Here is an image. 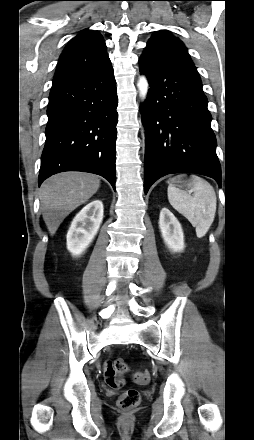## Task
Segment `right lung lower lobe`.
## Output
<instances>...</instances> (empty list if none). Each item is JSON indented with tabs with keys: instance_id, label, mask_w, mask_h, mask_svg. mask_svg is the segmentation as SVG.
I'll list each match as a JSON object with an SVG mask.
<instances>
[{
	"instance_id": "obj_1",
	"label": "right lung lower lobe",
	"mask_w": 254,
	"mask_h": 440,
	"mask_svg": "<svg viewBox=\"0 0 254 440\" xmlns=\"http://www.w3.org/2000/svg\"><path fill=\"white\" fill-rule=\"evenodd\" d=\"M116 91L111 63L52 85L39 185L59 172L84 171L115 189Z\"/></svg>"
}]
</instances>
